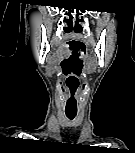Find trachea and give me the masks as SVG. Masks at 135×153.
<instances>
[{
  "mask_svg": "<svg viewBox=\"0 0 135 153\" xmlns=\"http://www.w3.org/2000/svg\"><path fill=\"white\" fill-rule=\"evenodd\" d=\"M66 116L70 119L73 120L76 116V112H67L66 111Z\"/></svg>",
  "mask_w": 135,
  "mask_h": 153,
  "instance_id": "1",
  "label": "trachea"
}]
</instances>
